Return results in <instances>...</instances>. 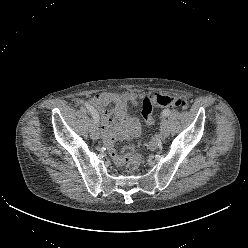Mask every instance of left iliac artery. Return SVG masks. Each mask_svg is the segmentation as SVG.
I'll return each instance as SVG.
<instances>
[{
  "mask_svg": "<svg viewBox=\"0 0 248 248\" xmlns=\"http://www.w3.org/2000/svg\"><path fill=\"white\" fill-rule=\"evenodd\" d=\"M170 113H171V110L170 109H165V110H163V116H169L170 115Z\"/></svg>",
  "mask_w": 248,
  "mask_h": 248,
  "instance_id": "1",
  "label": "left iliac artery"
}]
</instances>
